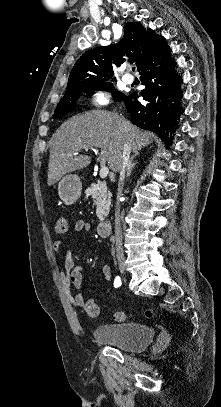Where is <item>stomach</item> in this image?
Returning a JSON list of instances; mask_svg holds the SVG:
<instances>
[{
	"instance_id": "0dacf381",
	"label": "stomach",
	"mask_w": 221,
	"mask_h": 407,
	"mask_svg": "<svg viewBox=\"0 0 221 407\" xmlns=\"http://www.w3.org/2000/svg\"><path fill=\"white\" fill-rule=\"evenodd\" d=\"M81 190L82 183L76 174H67L58 183L59 197L66 205L75 203L81 196Z\"/></svg>"
}]
</instances>
